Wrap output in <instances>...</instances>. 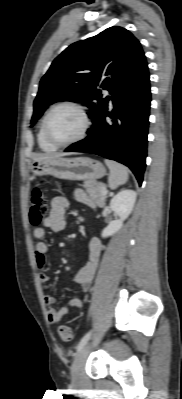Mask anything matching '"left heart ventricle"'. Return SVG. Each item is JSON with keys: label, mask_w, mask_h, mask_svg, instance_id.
Masks as SVG:
<instances>
[{"label": "left heart ventricle", "mask_w": 182, "mask_h": 399, "mask_svg": "<svg viewBox=\"0 0 182 399\" xmlns=\"http://www.w3.org/2000/svg\"><path fill=\"white\" fill-rule=\"evenodd\" d=\"M82 126L83 120L79 112L69 107L56 110L49 120V132L55 140L60 142L76 137Z\"/></svg>", "instance_id": "obj_1"}]
</instances>
